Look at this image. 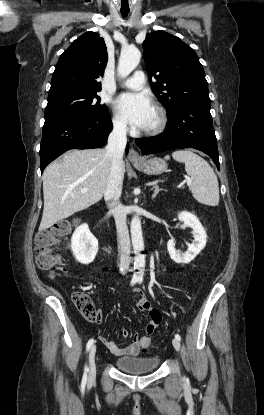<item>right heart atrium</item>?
Here are the masks:
<instances>
[{"instance_id":"obj_1","label":"right heart atrium","mask_w":264,"mask_h":415,"mask_svg":"<svg viewBox=\"0 0 264 415\" xmlns=\"http://www.w3.org/2000/svg\"><path fill=\"white\" fill-rule=\"evenodd\" d=\"M113 127L115 131H117L118 133H122V134L127 133L129 130L127 123L119 115L114 116Z\"/></svg>"}]
</instances>
